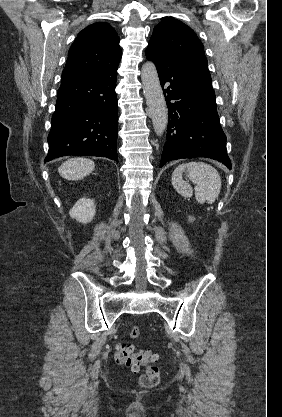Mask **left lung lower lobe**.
<instances>
[{
    "instance_id": "0a47b994",
    "label": "left lung lower lobe",
    "mask_w": 282,
    "mask_h": 417,
    "mask_svg": "<svg viewBox=\"0 0 282 417\" xmlns=\"http://www.w3.org/2000/svg\"><path fill=\"white\" fill-rule=\"evenodd\" d=\"M146 58L156 65L170 118L160 167L171 160L207 157L231 169L207 61L172 57L152 47Z\"/></svg>"
}]
</instances>
